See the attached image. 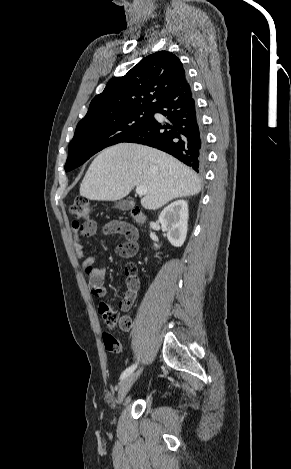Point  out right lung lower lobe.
<instances>
[{
  "instance_id": "right-lung-lower-lobe-1",
  "label": "right lung lower lobe",
  "mask_w": 291,
  "mask_h": 469,
  "mask_svg": "<svg viewBox=\"0 0 291 469\" xmlns=\"http://www.w3.org/2000/svg\"><path fill=\"white\" fill-rule=\"evenodd\" d=\"M167 122L152 118L123 142L139 143L165 151L196 172L206 161V144L190 86L170 92L154 109Z\"/></svg>"
}]
</instances>
